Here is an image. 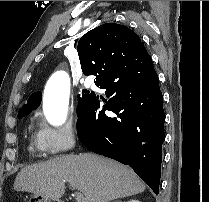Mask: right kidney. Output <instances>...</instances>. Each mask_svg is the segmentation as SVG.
I'll return each mask as SVG.
<instances>
[{"label": "right kidney", "mask_w": 209, "mask_h": 202, "mask_svg": "<svg viewBox=\"0 0 209 202\" xmlns=\"http://www.w3.org/2000/svg\"><path fill=\"white\" fill-rule=\"evenodd\" d=\"M114 202H122V201L116 200V201H114ZM128 202H140V201H138V200H130V201H128Z\"/></svg>", "instance_id": "obj_1"}]
</instances>
